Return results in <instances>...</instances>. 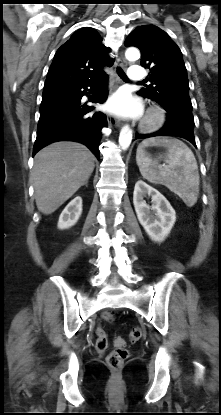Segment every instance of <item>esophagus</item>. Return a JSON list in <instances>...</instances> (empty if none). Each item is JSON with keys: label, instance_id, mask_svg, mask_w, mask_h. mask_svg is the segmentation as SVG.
<instances>
[{"label": "esophagus", "instance_id": "esophagus-1", "mask_svg": "<svg viewBox=\"0 0 221 415\" xmlns=\"http://www.w3.org/2000/svg\"><path fill=\"white\" fill-rule=\"evenodd\" d=\"M126 65H127L126 60L124 59L123 56H120L117 62V66L126 67ZM108 122L110 125L115 126V127H121L122 125V121L119 118L114 117V116H108Z\"/></svg>", "mask_w": 221, "mask_h": 415}]
</instances>
